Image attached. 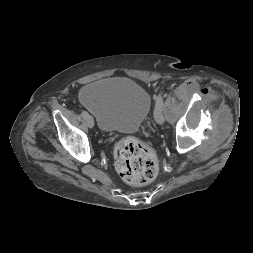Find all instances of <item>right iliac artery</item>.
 <instances>
[{
	"label": "right iliac artery",
	"instance_id": "obj_1",
	"mask_svg": "<svg viewBox=\"0 0 253 253\" xmlns=\"http://www.w3.org/2000/svg\"><path fill=\"white\" fill-rule=\"evenodd\" d=\"M81 115H82L83 118H85V117H87L88 113H87L86 111L83 110V111L81 112Z\"/></svg>",
	"mask_w": 253,
	"mask_h": 253
}]
</instances>
